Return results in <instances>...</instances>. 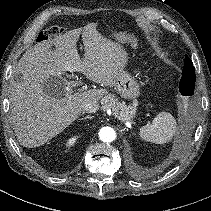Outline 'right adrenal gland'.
Here are the masks:
<instances>
[{"mask_svg": "<svg viewBox=\"0 0 211 211\" xmlns=\"http://www.w3.org/2000/svg\"><path fill=\"white\" fill-rule=\"evenodd\" d=\"M92 118H93V116L87 115L84 118H80L79 120H86V119H92Z\"/></svg>", "mask_w": 211, "mask_h": 211, "instance_id": "obj_1", "label": "right adrenal gland"}]
</instances>
